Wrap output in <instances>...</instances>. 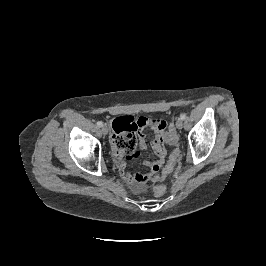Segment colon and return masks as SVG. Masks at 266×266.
<instances>
[{"label":"colon","instance_id":"1","mask_svg":"<svg viewBox=\"0 0 266 266\" xmlns=\"http://www.w3.org/2000/svg\"><path fill=\"white\" fill-rule=\"evenodd\" d=\"M169 141H170V144L174 146V150L173 152L171 153L169 159H168V162L162 172V175L160 176H152L154 179L156 180H159V179H162L164 178L167 174H169L175 163H176V160H177V157H178V154H179V150H178V147H177V138H176V134L173 130H169ZM153 192H154V195L156 197H161L163 196L165 193H166V187L164 185H157L154 187L153 189Z\"/></svg>","mask_w":266,"mask_h":266}]
</instances>
